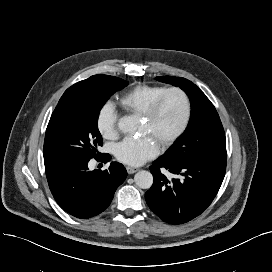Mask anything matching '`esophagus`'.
I'll return each mask as SVG.
<instances>
[{"mask_svg":"<svg viewBox=\"0 0 272 272\" xmlns=\"http://www.w3.org/2000/svg\"><path fill=\"white\" fill-rule=\"evenodd\" d=\"M126 170H127L128 174H134L135 172L138 171L137 168H133V167H129V166L126 167Z\"/></svg>","mask_w":272,"mask_h":272,"instance_id":"obj_1","label":"esophagus"}]
</instances>
